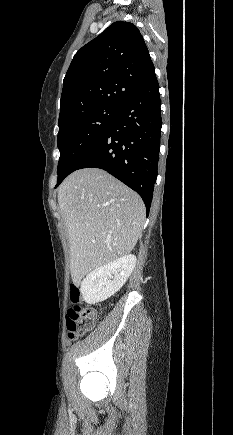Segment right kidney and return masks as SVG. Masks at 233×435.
<instances>
[{"instance_id":"1","label":"right kidney","mask_w":233,"mask_h":435,"mask_svg":"<svg viewBox=\"0 0 233 435\" xmlns=\"http://www.w3.org/2000/svg\"><path fill=\"white\" fill-rule=\"evenodd\" d=\"M136 264V256H122L90 272L81 282V294L87 304L102 302L125 284Z\"/></svg>"}]
</instances>
